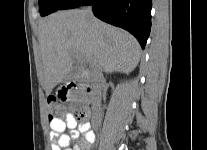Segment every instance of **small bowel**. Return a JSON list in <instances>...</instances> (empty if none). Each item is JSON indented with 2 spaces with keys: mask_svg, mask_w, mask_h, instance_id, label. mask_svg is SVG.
<instances>
[{
  "mask_svg": "<svg viewBox=\"0 0 207 150\" xmlns=\"http://www.w3.org/2000/svg\"><path fill=\"white\" fill-rule=\"evenodd\" d=\"M66 130L77 139L74 146H71V136L65 133ZM50 138L52 150H90L96 139L90 124L86 121L78 122L71 113L66 114L64 118L50 120Z\"/></svg>",
  "mask_w": 207,
  "mask_h": 150,
  "instance_id": "c3829d8e",
  "label": "small bowel"
}]
</instances>
